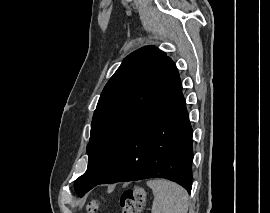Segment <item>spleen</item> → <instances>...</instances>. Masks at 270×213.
I'll return each instance as SVG.
<instances>
[{
	"label": "spleen",
	"instance_id": "obj_1",
	"mask_svg": "<svg viewBox=\"0 0 270 213\" xmlns=\"http://www.w3.org/2000/svg\"><path fill=\"white\" fill-rule=\"evenodd\" d=\"M154 194L151 213H187L188 194L174 182L164 179L148 180Z\"/></svg>",
	"mask_w": 270,
	"mask_h": 213
}]
</instances>
